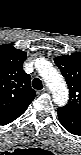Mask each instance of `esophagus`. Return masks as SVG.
Returning a JSON list of instances; mask_svg holds the SVG:
<instances>
[{
	"instance_id": "1",
	"label": "esophagus",
	"mask_w": 81,
	"mask_h": 155,
	"mask_svg": "<svg viewBox=\"0 0 81 155\" xmlns=\"http://www.w3.org/2000/svg\"><path fill=\"white\" fill-rule=\"evenodd\" d=\"M42 92H49L48 87H44V88L42 89Z\"/></svg>"
}]
</instances>
